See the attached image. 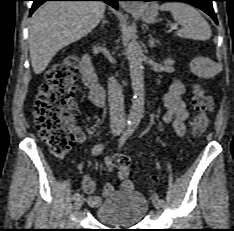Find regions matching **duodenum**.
<instances>
[{
    "instance_id": "obj_1",
    "label": "duodenum",
    "mask_w": 234,
    "mask_h": 231,
    "mask_svg": "<svg viewBox=\"0 0 234 231\" xmlns=\"http://www.w3.org/2000/svg\"><path fill=\"white\" fill-rule=\"evenodd\" d=\"M81 73L85 85L90 89L92 100L101 104L104 97V88L98 80L91 57L86 56L84 58Z\"/></svg>"
}]
</instances>
